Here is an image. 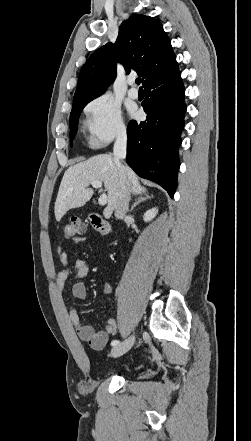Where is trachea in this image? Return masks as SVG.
<instances>
[{"instance_id":"1","label":"trachea","mask_w":251,"mask_h":441,"mask_svg":"<svg viewBox=\"0 0 251 441\" xmlns=\"http://www.w3.org/2000/svg\"><path fill=\"white\" fill-rule=\"evenodd\" d=\"M140 82H141V79H140V78H137V79H136V84H137V85H140Z\"/></svg>"}]
</instances>
